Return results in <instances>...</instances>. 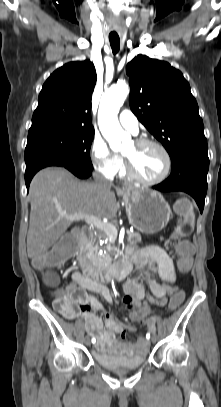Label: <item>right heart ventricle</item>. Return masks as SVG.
<instances>
[{"instance_id": "right-heart-ventricle-1", "label": "right heart ventricle", "mask_w": 221, "mask_h": 407, "mask_svg": "<svg viewBox=\"0 0 221 407\" xmlns=\"http://www.w3.org/2000/svg\"><path fill=\"white\" fill-rule=\"evenodd\" d=\"M120 175H121L122 177H125V176H126V171H125V168H124L123 165H122L121 168H120Z\"/></svg>"}]
</instances>
